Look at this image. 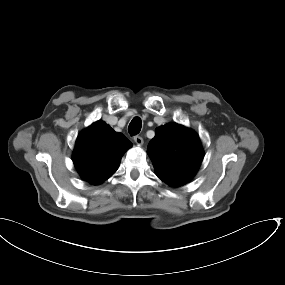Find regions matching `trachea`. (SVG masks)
<instances>
[{
  "instance_id": "obj_1",
  "label": "trachea",
  "mask_w": 285,
  "mask_h": 285,
  "mask_svg": "<svg viewBox=\"0 0 285 285\" xmlns=\"http://www.w3.org/2000/svg\"><path fill=\"white\" fill-rule=\"evenodd\" d=\"M142 122L139 117H135L129 124L128 131L131 135H137L141 130Z\"/></svg>"
}]
</instances>
